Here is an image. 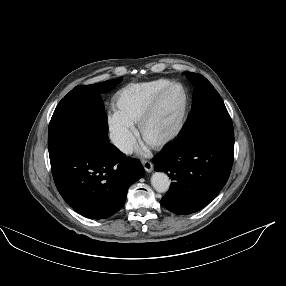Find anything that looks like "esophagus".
I'll list each match as a JSON object with an SVG mask.
<instances>
[{"label": "esophagus", "mask_w": 286, "mask_h": 286, "mask_svg": "<svg viewBox=\"0 0 286 286\" xmlns=\"http://www.w3.org/2000/svg\"><path fill=\"white\" fill-rule=\"evenodd\" d=\"M142 165L144 167V169L147 171V172H152L153 171V164L151 161L149 160H142Z\"/></svg>", "instance_id": "obj_1"}]
</instances>
